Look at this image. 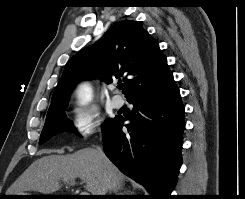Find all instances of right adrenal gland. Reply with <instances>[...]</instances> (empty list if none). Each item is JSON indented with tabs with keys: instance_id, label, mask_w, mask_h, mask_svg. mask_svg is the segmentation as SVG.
<instances>
[{
	"instance_id": "right-adrenal-gland-1",
	"label": "right adrenal gland",
	"mask_w": 245,
	"mask_h": 199,
	"mask_svg": "<svg viewBox=\"0 0 245 199\" xmlns=\"http://www.w3.org/2000/svg\"><path fill=\"white\" fill-rule=\"evenodd\" d=\"M122 191H123V193H122ZM129 191L125 188H121L120 189V193H116L115 195H128L129 193H128Z\"/></svg>"
}]
</instances>
